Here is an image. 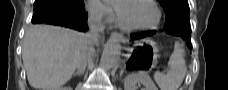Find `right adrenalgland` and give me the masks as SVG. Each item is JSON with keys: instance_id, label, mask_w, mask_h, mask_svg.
I'll return each instance as SVG.
<instances>
[{"instance_id": "obj_1", "label": "right adrenal gland", "mask_w": 228, "mask_h": 90, "mask_svg": "<svg viewBox=\"0 0 228 90\" xmlns=\"http://www.w3.org/2000/svg\"><path fill=\"white\" fill-rule=\"evenodd\" d=\"M82 74H83V72L77 71V72H75V73L73 74V76H80V75H82Z\"/></svg>"}]
</instances>
